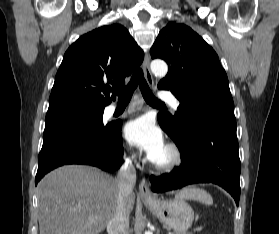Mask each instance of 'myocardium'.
<instances>
[{"label": "myocardium", "mask_w": 279, "mask_h": 234, "mask_svg": "<svg viewBox=\"0 0 279 234\" xmlns=\"http://www.w3.org/2000/svg\"><path fill=\"white\" fill-rule=\"evenodd\" d=\"M167 157L163 161H152L153 167L160 172H168L178 167L182 162V153L173 143L166 145Z\"/></svg>", "instance_id": "1"}]
</instances>
